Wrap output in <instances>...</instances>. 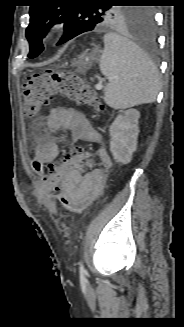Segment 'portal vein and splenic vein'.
<instances>
[{"instance_id":"portal-vein-and-splenic-vein-1","label":"portal vein and splenic vein","mask_w":184,"mask_h":327,"mask_svg":"<svg viewBox=\"0 0 184 327\" xmlns=\"http://www.w3.org/2000/svg\"><path fill=\"white\" fill-rule=\"evenodd\" d=\"M102 87H103L102 83H98V84L96 85V89H97V90H101Z\"/></svg>"}]
</instances>
